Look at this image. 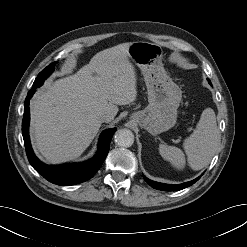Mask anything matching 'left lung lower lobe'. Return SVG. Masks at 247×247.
Here are the masks:
<instances>
[{
  "mask_svg": "<svg viewBox=\"0 0 247 247\" xmlns=\"http://www.w3.org/2000/svg\"><path fill=\"white\" fill-rule=\"evenodd\" d=\"M210 83V81H208ZM144 180L153 188L157 189V190H162V191H177V190H181L184 189L188 186L193 185L197 180L200 179V176L192 181L186 182V183H182V184H178V185H171V184H163V183H159V182H154L152 180H149L148 178H146L145 176Z\"/></svg>",
  "mask_w": 247,
  "mask_h": 247,
  "instance_id": "obj_1",
  "label": "left lung lower lobe"
}]
</instances>
